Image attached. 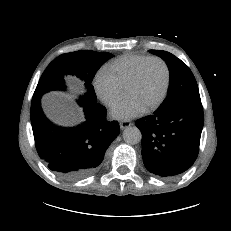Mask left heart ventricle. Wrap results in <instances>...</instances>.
I'll use <instances>...</instances> for the list:
<instances>
[{
    "label": "left heart ventricle",
    "instance_id": "left-heart-ventricle-1",
    "mask_svg": "<svg viewBox=\"0 0 231 231\" xmlns=\"http://www.w3.org/2000/svg\"><path fill=\"white\" fill-rule=\"evenodd\" d=\"M165 77L163 65L158 61H152L147 64L137 84L128 90L126 95L136 99L146 109L159 98Z\"/></svg>",
    "mask_w": 231,
    "mask_h": 231
}]
</instances>
